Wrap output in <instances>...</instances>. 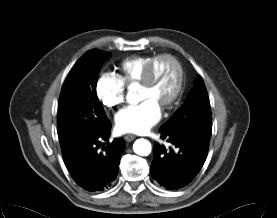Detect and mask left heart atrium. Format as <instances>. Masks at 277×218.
<instances>
[{"mask_svg":"<svg viewBox=\"0 0 277 218\" xmlns=\"http://www.w3.org/2000/svg\"><path fill=\"white\" fill-rule=\"evenodd\" d=\"M159 118V104L152 98H146L139 104L122 109L116 116V128L120 132H143Z\"/></svg>","mask_w":277,"mask_h":218,"instance_id":"1","label":"left heart atrium"}]
</instances>
